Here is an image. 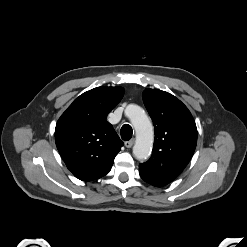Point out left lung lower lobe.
Instances as JSON below:
<instances>
[{
    "label": "left lung lower lobe",
    "mask_w": 247,
    "mask_h": 247,
    "mask_svg": "<svg viewBox=\"0 0 247 247\" xmlns=\"http://www.w3.org/2000/svg\"><path fill=\"white\" fill-rule=\"evenodd\" d=\"M143 179V178H142ZM144 180V179H143ZM144 181H146V180H144ZM146 182H148V181H146ZM149 184H151V185H153V186H156V187H160V186H158L157 184H155V183H153V182H148Z\"/></svg>",
    "instance_id": "obj_1"
}]
</instances>
